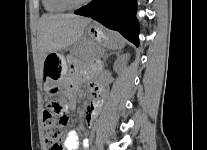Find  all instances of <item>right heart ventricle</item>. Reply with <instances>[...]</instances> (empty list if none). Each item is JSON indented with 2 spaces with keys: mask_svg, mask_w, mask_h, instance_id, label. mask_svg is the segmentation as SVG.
I'll list each match as a JSON object with an SVG mask.
<instances>
[{
  "mask_svg": "<svg viewBox=\"0 0 207 150\" xmlns=\"http://www.w3.org/2000/svg\"><path fill=\"white\" fill-rule=\"evenodd\" d=\"M45 10L49 13H62L68 8L60 0H42Z\"/></svg>",
  "mask_w": 207,
  "mask_h": 150,
  "instance_id": "obj_1",
  "label": "right heart ventricle"
}]
</instances>
